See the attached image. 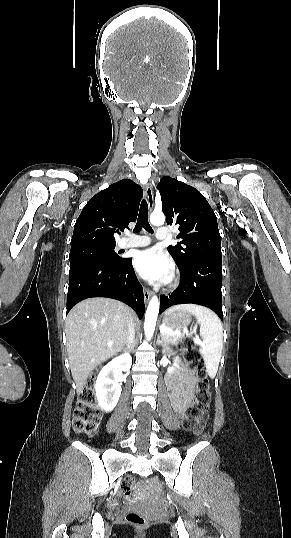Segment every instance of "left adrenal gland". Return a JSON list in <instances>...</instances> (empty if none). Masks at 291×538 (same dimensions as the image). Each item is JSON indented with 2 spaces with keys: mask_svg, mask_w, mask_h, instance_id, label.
<instances>
[{
  "mask_svg": "<svg viewBox=\"0 0 291 538\" xmlns=\"http://www.w3.org/2000/svg\"><path fill=\"white\" fill-rule=\"evenodd\" d=\"M160 336H161V334H160ZM160 336L158 337L157 343L164 346V345H165V344H164V341H163L162 338L160 339ZM163 352H164V351H163Z\"/></svg>",
  "mask_w": 291,
  "mask_h": 538,
  "instance_id": "left-adrenal-gland-1",
  "label": "left adrenal gland"
}]
</instances>
